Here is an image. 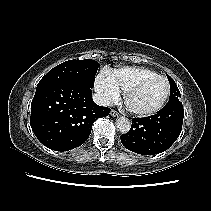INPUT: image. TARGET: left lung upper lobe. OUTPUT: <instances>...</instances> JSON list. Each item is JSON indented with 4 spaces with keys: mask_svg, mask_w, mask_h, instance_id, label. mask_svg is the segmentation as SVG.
<instances>
[{
    "mask_svg": "<svg viewBox=\"0 0 211 211\" xmlns=\"http://www.w3.org/2000/svg\"><path fill=\"white\" fill-rule=\"evenodd\" d=\"M167 77L170 83V98L168 103L180 101L181 95L175 81L169 75Z\"/></svg>",
    "mask_w": 211,
    "mask_h": 211,
    "instance_id": "5c2ea615",
    "label": "left lung upper lobe"
}]
</instances>
